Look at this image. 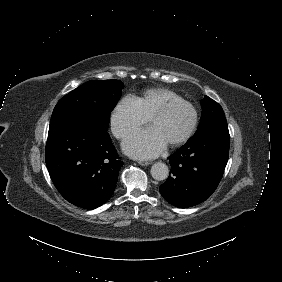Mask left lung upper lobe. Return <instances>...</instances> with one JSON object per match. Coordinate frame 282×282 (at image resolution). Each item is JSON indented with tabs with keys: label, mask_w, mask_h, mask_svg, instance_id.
Returning <instances> with one entry per match:
<instances>
[{
	"label": "left lung upper lobe",
	"mask_w": 282,
	"mask_h": 282,
	"mask_svg": "<svg viewBox=\"0 0 282 282\" xmlns=\"http://www.w3.org/2000/svg\"><path fill=\"white\" fill-rule=\"evenodd\" d=\"M202 116L197 132L219 123H226V118L221 106L214 100L205 96L201 100Z\"/></svg>",
	"instance_id": "5c2ea615"
}]
</instances>
